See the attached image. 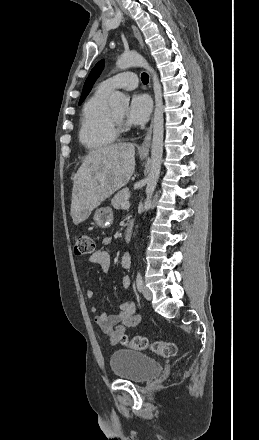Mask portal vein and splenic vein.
<instances>
[{
    "label": "portal vein and splenic vein",
    "mask_w": 259,
    "mask_h": 440,
    "mask_svg": "<svg viewBox=\"0 0 259 440\" xmlns=\"http://www.w3.org/2000/svg\"><path fill=\"white\" fill-rule=\"evenodd\" d=\"M130 207V203L128 201L121 204L122 209H128Z\"/></svg>",
    "instance_id": "portal-vein-and-splenic-vein-1"
}]
</instances>
